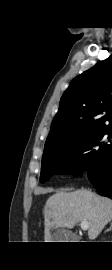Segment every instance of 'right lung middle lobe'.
I'll use <instances>...</instances> for the list:
<instances>
[{
  "instance_id": "obj_1",
  "label": "right lung middle lobe",
  "mask_w": 112,
  "mask_h": 270,
  "mask_svg": "<svg viewBox=\"0 0 112 270\" xmlns=\"http://www.w3.org/2000/svg\"><path fill=\"white\" fill-rule=\"evenodd\" d=\"M112 125L91 131L72 141L44 148L40 181L54 174H78L98 170L112 149Z\"/></svg>"
}]
</instances>
